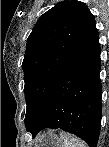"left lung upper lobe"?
<instances>
[{"mask_svg":"<svg viewBox=\"0 0 109 147\" xmlns=\"http://www.w3.org/2000/svg\"><path fill=\"white\" fill-rule=\"evenodd\" d=\"M96 31L90 10L75 0L56 4L39 18L27 39L22 63L26 127L40 117L62 68Z\"/></svg>","mask_w":109,"mask_h":147,"instance_id":"1","label":"left lung upper lobe"}]
</instances>
